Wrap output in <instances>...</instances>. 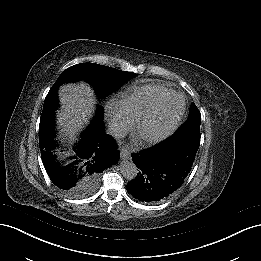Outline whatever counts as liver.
<instances>
[{"mask_svg": "<svg viewBox=\"0 0 261 261\" xmlns=\"http://www.w3.org/2000/svg\"><path fill=\"white\" fill-rule=\"evenodd\" d=\"M59 99L61 103V110L57 113L58 126L61 128L59 139H67L71 145L76 140L78 132L91 119L97 103L96 98L93 89L87 83L80 82L61 86ZM57 153L60 158L73 155L70 151L64 154L60 151Z\"/></svg>", "mask_w": 261, "mask_h": 261, "instance_id": "liver-1", "label": "liver"}]
</instances>
